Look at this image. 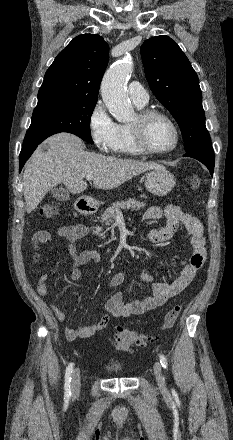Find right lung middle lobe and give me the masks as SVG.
Listing matches in <instances>:
<instances>
[{
  "label": "right lung middle lobe",
  "instance_id": "1",
  "mask_svg": "<svg viewBox=\"0 0 233 440\" xmlns=\"http://www.w3.org/2000/svg\"><path fill=\"white\" fill-rule=\"evenodd\" d=\"M97 100L53 98L39 102L32 115L30 132H69L93 143L90 118Z\"/></svg>",
  "mask_w": 233,
  "mask_h": 440
}]
</instances>
